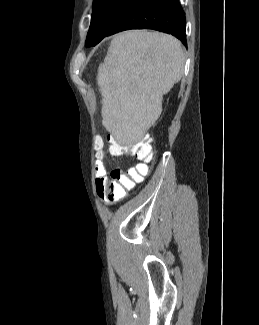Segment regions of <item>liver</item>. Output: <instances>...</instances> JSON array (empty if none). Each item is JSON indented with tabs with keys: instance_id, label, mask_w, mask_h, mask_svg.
<instances>
[{
	"instance_id": "obj_1",
	"label": "liver",
	"mask_w": 259,
	"mask_h": 325,
	"mask_svg": "<svg viewBox=\"0 0 259 325\" xmlns=\"http://www.w3.org/2000/svg\"><path fill=\"white\" fill-rule=\"evenodd\" d=\"M182 44L171 35L131 30L113 37L97 82L102 124L123 145L143 140L162 112L163 96L183 76Z\"/></svg>"
}]
</instances>
